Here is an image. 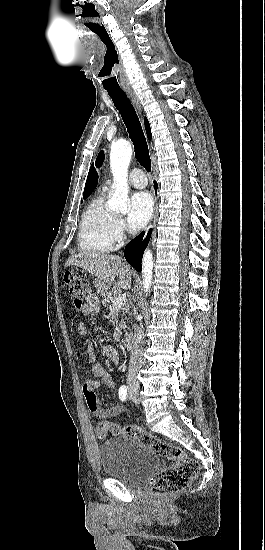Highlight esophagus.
<instances>
[{
    "label": "esophagus",
    "instance_id": "1",
    "mask_svg": "<svg viewBox=\"0 0 265 550\" xmlns=\"http://www.w3.org/2000/svg\"><path fill=\"white\" fill-rule=\"evenodd\" d=\"M128 94L132 98L133 103L135 104L139 114L141 115L142 114V107H141V103H140L139 99L137 98L135 93L132 92V91H128ZM154 221H155V215L153 216L152 224L154 223Z\"/></svg>",
    "mask_w": 265,
    "mask_h": 550
}]
</instances>
